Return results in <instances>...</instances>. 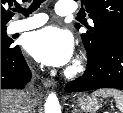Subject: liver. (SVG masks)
<instances>
[{"label":"liver","mask_w":123,"mask_h":113,"mask_svg":"<svg viewBox=\"0 0 123 113\" xmlns=\"http://www.w3.org/2000/svg\"><path fill=\"white\" fill-rule=\"evenodd\" d=\"M27 94L18 90H1V113H22Z\"/></svg>","instance_id":"6515ba94"}]
</instances>
